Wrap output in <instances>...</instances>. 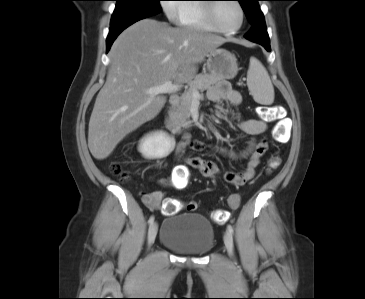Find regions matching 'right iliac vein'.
I'll return each mask as SVG.
<instances>
[{"label":"right iliac vein","instance_id":"63e3f726","mask_svg":"<svg viewBox=\"0 0 365 299\" xmlns=\"http://www.w3.org/2000/svg\"><path fill=\"white\" fill-rule=\"evenodd\" d=\"M157 230H158L157 224L156 223L151 224L148 230V238H147V243L149 247L154 243L156 239Z\"/></svg>","mask_w":365,"mask_h":299}]
</instances>
